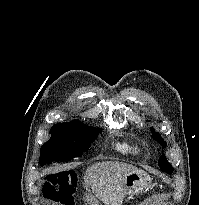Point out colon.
Here are the masks:
<instances>
[{
  "instance_id": "obj_1",
  "label": "colon",
  "mask_w": 199,
  "mask_h": 205,
  "mask_svg": "<svg viewBox=\"0 0 199 205\" xmlns=\"http://www.w3.org/2000/svg\"><path fill=\"white\" fill-rule=\"evenodd\" d=\"M74 179L75 175L71 171L48 175L43 184L44 196L51 201H60L72 191Z\"/></svg>"
}]
</instances>
